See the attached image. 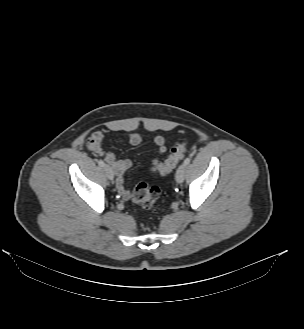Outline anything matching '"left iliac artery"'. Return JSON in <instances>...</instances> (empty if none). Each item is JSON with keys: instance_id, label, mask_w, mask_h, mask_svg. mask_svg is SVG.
Wrapping results in <instances>:
<instances>
[{"instance_id": "left-iliac-artery-1", "label": "left iliac artery", "mask_w": 304, "mask_h": 329, "mask_svg": "<svg viewBox=\"0 0 304 329\" xmlns=\"http://www.w3.org/2000/svg\"><path fill=\"white\" fill-rule=\"evenodd\" d=\"M190 158L189 157H187L185 160H184V162H183V164L186 166V165H188L189 163H190Z\"/></svg>"}]
</instances>
